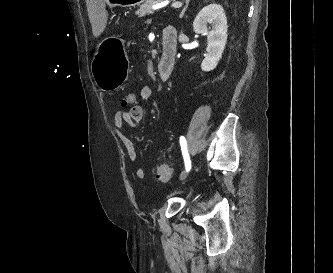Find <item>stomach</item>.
Masks as SVG:
<instances>
[{
  "label": "stomach",
  "mask_w": 333,
  "mask_h": 273,
  "mask_svg": "<svg viewBox=\"0 0 333 273\" xmlns=\"http://www.w3.org/2000/svg\"><path fill=\"white\" fill-rule=\"evenodd\" d=\"M146 0H107L109 7L139 6ZM107 49H104V48ZM119 39L110 37L105 39L97 49L92 60V74L95 83L102 91L119 88L123 83V75H128V58L121 52Z\"/></svg>",
  "instance_id": "0dacf381"
}]
</instances>
